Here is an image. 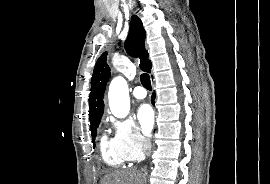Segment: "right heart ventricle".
Listing matches in <instances>:
<instances>
[{
	"mask_svg": "<svg viewBox=\"0 0 270 184\" xmlns=\"http://www.w3.org/2000/svg\"><path fill=\"white\" fill-rule=\"evenodd\" d=\"M100 150L103 160L109 166L121 167L128 161L117 147L114 139H108L106 136H102Z\"/></svg>",
	"mask_w": 270,
	"mask_h": 184,
	"instance_id": "1",
	"label": "right heart ventricle"
}]
</instances>
